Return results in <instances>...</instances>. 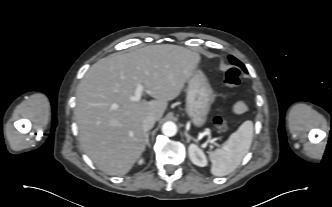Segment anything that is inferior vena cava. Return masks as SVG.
Listing matches in <instances>:
<instances>
[{
    "label": "inferior vena cava",
    "mask_w": 332,
    "mask_h": 207,
    "mask_svg": "<svg viewBox=\"0 0 332 207\" xmlns=\"http://www.w3.org/2000/svg\"><path fill=\"white\" fill-rule=\"evenodd\" d=\"M155 117L154 116H146L142 121V127L144 131H148L153 128L155 124Z\"/></svg>",
    "instance_id": "obj_1"
}]
</instances>
